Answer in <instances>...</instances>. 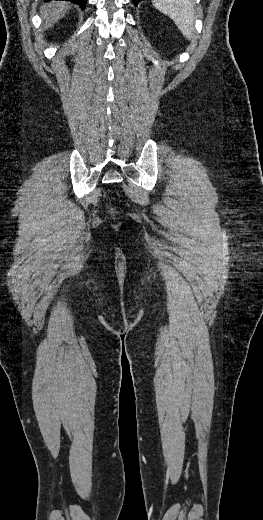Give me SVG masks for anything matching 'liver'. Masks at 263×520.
Masks as SVG:
<instances>
[{"label": "liver", "instance_id": "1", "mask_svg": "<svg viewBox=\"0 0 263 520\" xmlns=\"http://www.w3.org/2000/svg\"><path fill=\"white\" fill-rule=\"evenodd\" d=\"M70 8V3L66 1H51L41 6L40 15L43 19V29L52 27L65 16Z\"/></svg>", "mask_w": 263, "mask_h": 520}]
</instances>
